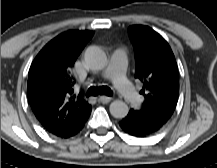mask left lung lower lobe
Returning <instances> with one entry per match:
<instances>
[{"label":"left lung lower lobe","instance_id":"left-lung-lower-lobe-1","mask_svg":"<svg viewBox=\"0 0 217 168\" xmlns=\"http://www.w3.org/2000/svg\"><path fill=\"white\" fill-rule=\"evenodd\" d=\"M166 123L131 110L120 122V127L135 137H146L159 131Z\"/></svg>","mask_w":217,"mask_h":168}]
</instances>
